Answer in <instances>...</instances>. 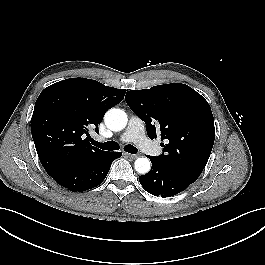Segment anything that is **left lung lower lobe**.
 Segmentation results:
<instances>
[{"label":"left lung lower lobe","instance_id":"left-lung-lower-lobe-1","mask_svg":"<svg viewBox=\"0 0 265 265\" xmlns=\"http://www.w3.org/2000/svg\"><path fill=\"white\" fill-rule=\"evenodd\" d=\"M148 157L151 160L152 168L148 174L140 176L139 181L143 188L152 195L171 197L196 181V179L161 164L154 156Z\"/></svg>","mask_w":265,"mask_h":265}]
</instances>
